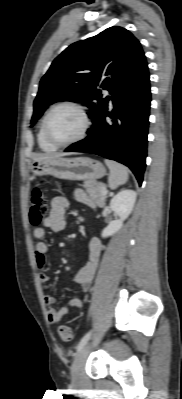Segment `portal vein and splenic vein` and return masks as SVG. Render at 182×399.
Wrapping results in <instances>:
<instances>
[{
    "label": "portal vein and splenic vein",
    "mask_w": 182,
    "mask_h": 399,
    "mask_svg": "<svg viewBox=\"0 0 182 399\" xmlns=\"http://www.w3.org/2000/svg\"><path fill=\"white\" fill-rule=\"evenodd\" d=\"M104 194H107V190L104 191Z\"/></svg>",
    "instance_id": "portal-vein-and-splenic-vein-1"
}]
</instances>
